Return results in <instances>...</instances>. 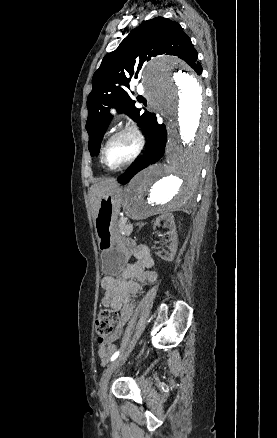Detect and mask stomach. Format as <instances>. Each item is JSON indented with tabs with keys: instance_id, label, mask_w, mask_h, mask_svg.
I'll return each instance as SVG.
<instances>
[{
	"instance_id": "obj_1",
	"label": "stomach",
	"mask_w": 277,
	"mask_h": 438,
	"mask_svg": "<svg viewBox=\"0 0 277 438\" xmlns=\"http://www.w3.org/2000/svg\"><path fill=\"white\" fill-rule=\"evenodd\" d=\"M122 200L123 192L118 186L106 192L100 199L94 221L102 271L106 275H118L130 256V242L120 234L117 226Z\"/></svg>"
}]
</instances>
